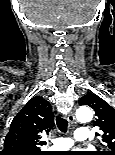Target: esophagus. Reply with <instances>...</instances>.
Segmentation results:
<instances>
[{
  "instance_id": "34e87169",
  "label": "esophagus",
  "mask_w": 115,
  "mask_h": 155,
  "mask_svg": "<svg viewBox=\"0 0 115 155\" xmlns=\"http://www.w3.org/2000/svg\"><path fill=\"white\" fill-rule=\"evenodd\" d=\"M67 120H68L69 123H71V124L75 123L76 118H75L74 111H71V112L68 114Z\"/></svg>"
}]
</instances>
